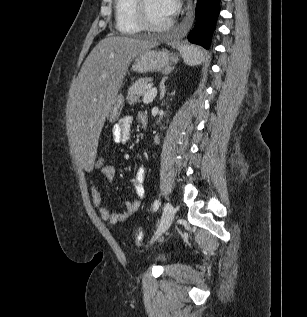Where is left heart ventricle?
<instances>
[{
	"label": "left heart ventricle",
	"mask_w": 307,
	"mask_h": 317,
	"mask_svg": "<svg viewBox=\"0 0 307 317\" xmlns=\"http://www.w3.org/2000/svg\"><path fill=\"white\" fill-rule=\"evenodd\" d=\"M149 19L157 25L168 22L171 18L164 11L160 0H146Z\"/></svg>",
	"instance_id": "1"
}]
</instances>
